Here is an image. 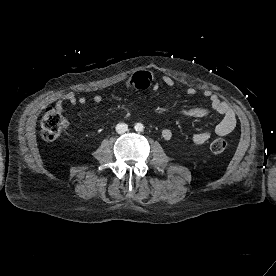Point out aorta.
I'll return each instance as SVG.
<instances>
[{"label": "aorta", "mask_w": 276, "mask_h": 276, "mask_svg": "<svg viewBox=\"0 0 276 276\" xmlns=\"http://www.w3.org/2000/svg\"><path fill=\"white\" fill-rule=\"evenodd\" d=\"M134 128L137 132H142L144 130V126L142 123H137Z\"/></svg>", "instance_id": "762f6f07"}]
</instances>
